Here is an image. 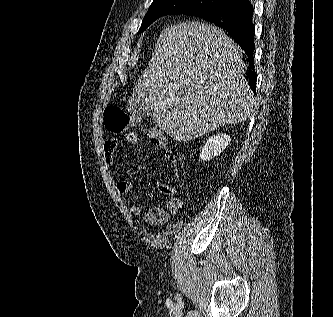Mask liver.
I'll use <instances>...</instances> for the list:
<instances>
[{
	"instance_id": "obj_1",
	"label": "liver",
	"mask_w": 333,
	"mask_h": 317,
	"mask_svg": "<svg viewBox=\"0 0 333 317\" xmlns=\"http://www.w3.org/2000/svg\"><path fill=\"white\" fill-rule=\"evenodd\" d=\"M241 58L222 29L177 23L160 34L132 99L151 103L155 123L177 141L243 122L255 112L256 99Z\"/></svg>"
}]
</instances>
